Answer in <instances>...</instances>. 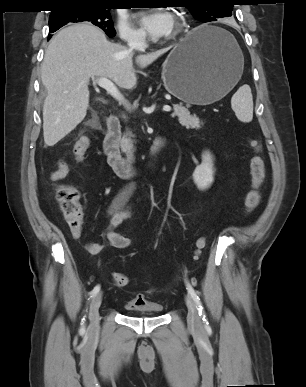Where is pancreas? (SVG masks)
<instances>
[{"label": "pancreas", "instance_id": "pancreas-1", "mask_svg": "<svg viewBox=\"0 0 306 387\" xmlns=\"http://www.w3.org/2000/svg\"><path fill=\"white\" fill-rule=\"evenodd\" d=\"M174 113L173 116L178 118V122L187 129H200L203 125L200 119L190 114L189 110L181 104H173ZM133 137L130 131L120 141L121 149L124 153L131 154L133 151Z\"/></svg>", "mask_w": 306, "mask_h": 387}]
</instances>
